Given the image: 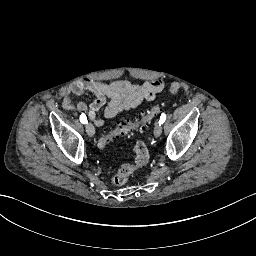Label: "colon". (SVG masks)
Masks as SVG:
<instances>
[{
	"instance_id": "5ec220e1",
	"label": "colon",
	"mask_w": 256,
	"mask_h": 256,
	"mask_svg": "<svg viewBox=\"0 0 256 256\" xmlns=\"http://www.w3.org/2000/svg\"><path fill=\"white\" fill-rule=\"evenodd\" d=\"M181 90L179 83H172L169 88L170 94H176ZM162 110V103L158 102L149 111L142 114L137 120H128L118 124L114 129H110L104 132L98 142L100 149H104L105 146L115 138L129 137L137 131L146 129L149 124L160 114ZM135 164L134 165H122L118 171L111 177V183L115 186H121L125 184L129 176L134 172L138 166L146 165L150 159V154L146 147V144L142 141H138L134 144Z\"/></svg>"
}]
</instances>
